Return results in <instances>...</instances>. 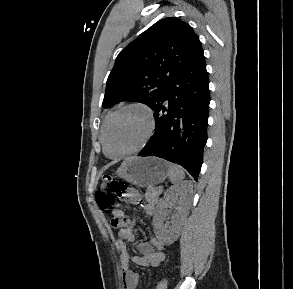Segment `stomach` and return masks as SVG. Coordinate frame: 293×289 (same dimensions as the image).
<instances>
[{"label": "stomach", "instance_id": "0dacf381", "mask_svg": "<svg viewBox=\"0 0 293 289\" xmlns=\"http://www.w3.org/2000/svg\"><path fill=\"white\" fill-rule=\"evenodd\" d=\"M116 174L138 187L153 186L168 176V163L156 157H130L123 161Z\"/></svg>", "mask_w": 293, "mask_h": 289}]
</instances>
